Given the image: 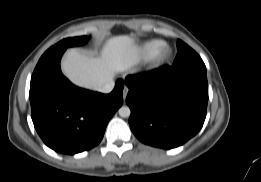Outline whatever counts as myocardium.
Here are the masks:
<instances>
[{"label":"myocardium","instance_id":"obj_1","mask_svg":"<svg viewBox=\"0 0 261 182\" xmlns=\"http://www.w3.org/2000/svg\"><path fill=\"white\" fill-rule=\"evenodd\" d=\"M171 49L168 46H165L155 57L154 64L161 65L166 62L171 56Z\"/></svg>","mask_w":261,"mask_h":182}]
</instances>
